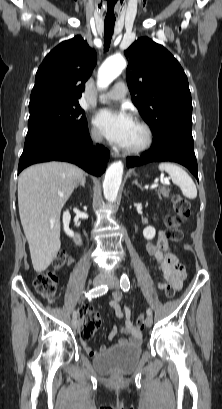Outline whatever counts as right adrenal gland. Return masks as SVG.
Returning <instances> with one entry per match:
<instances>
[{
    "label": "right adrenal gland",
    "instance_id": "right-adrenal-gland-1",
    "mask_svg": "<svg viewBox=\"0 0 222 409\" xmlns=\"http://www.w3.org/2000/svg\"><path fill=\"white\" fill-rule=\"evenodd\" d=\"M85 183H86V178L83 177V178L80 180V182H78V184L76 185L75 188L77 189L79 186H82V187L85 188Z\"/></svg>",
    "mask_w": 222,
    "mask_h": 409
}]
</instances>
